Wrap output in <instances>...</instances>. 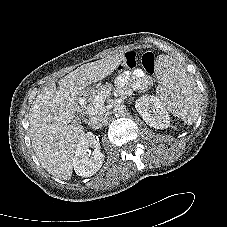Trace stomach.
I'll list each match as a JSON object with an SVG mask.
<instances>
[{
	"instance_id": "0dacf381",
	"label": "stomach",
	"mask_w": 227,
	"mask_h": 227,
	"mask_svg": "<svg viewBox=\"0 0 227 227\" xmlns=\"http://www.w3.org/2000/svg\"><path fill=\"white\" fill-rule=\"evenodd\" d=\"M81 94L84 97H86V96L88 97L90 93H89V90H83Z\"/></svg>"
}]
</instances>
